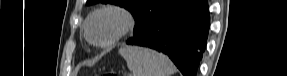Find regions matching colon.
Instances as JSON below:
<instances>
[{
	"label": "colon",
	"mask_w": 287,
	"mask_h": 76,
	"mask_svg": "<svg viewBox=\"0 0 287 76\" xmlns=\"http://www.w3.org/2000/svg\"><path fill=\"white\" fill-rule=\"evenodd\" d=\"M106 76H117V74L114 73V72H109V73L106 74Z\"/></svg>",
	"instance_id": "colon-1"
}]
</instances>
